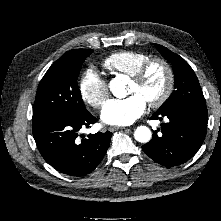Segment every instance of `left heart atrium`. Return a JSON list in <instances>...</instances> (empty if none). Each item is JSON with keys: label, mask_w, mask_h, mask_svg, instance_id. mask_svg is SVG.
Returning a JSON list of instances; mask_svg holds the SVG:
<instances>
[{"label": "left heart atrium", "mask_w": 221, "mask_h": 221, "mask_svg": "<svg viewBox=\"0 0 221 221\" xmlns=\"http://www.w3.org/2000/svg\"><path fill=\"white\" fill-rule=\"evenodd\" d=\"M146 109V101L137 93L124 99L108 100L101 111V119L109 125L126 126L135 122Z\"/></svg>", "instance_id": "39dd6f15"}]
</instances>
